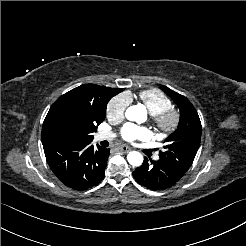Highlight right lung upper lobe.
<instances>
[{"mask_svg":"<svg viewBox=\"0 0 246 246\" xmlns=\"http://www.w3.org/2000/svg\"><path fill=\"white\" fill-rule=\"evenodd\" d=\"M124 89L109 88L95 84H84L59 97L51 106L42 128L43 145L52 142L51 127L64 113L83 115L105 113L108 101Z\"/></svg>","mask_w":246,"mask_h":246,"instance_id":"obj_1","label":"right lung upper lobe"}]
</instances>
